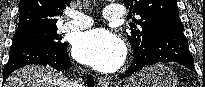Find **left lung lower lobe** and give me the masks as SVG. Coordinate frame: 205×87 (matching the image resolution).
I'll return each instance as SVG.
<instances>
[{"mask_svg": "<svg viewBox=\"0 0 205 87\" xmlns=\"http://www.w3.org/2000/svg\"><path fill=\"white\" fill-rule=\"evenodd\" d=\"M133 53V62L126 73L120 76L121 79L131 76L147 65L159 62H177L192 71L195 70L181 21H170L161 25L148 39L145 47L133 50Z\"/></svg>", "mask_w": 205, "mask_h": 87, "instance_id": "obj_1", "label": "left lung lower lobe"}]
</instances>
